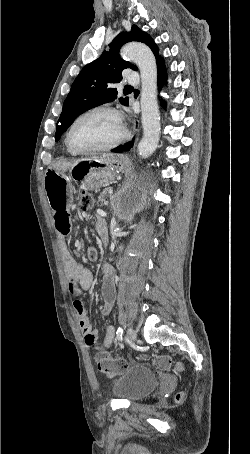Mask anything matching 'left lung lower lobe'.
I'll return each mask as SVG.
<instances>
[{
  "mask_svg": "<svg viewBox=\"0 0 250 454\" xmlns=\"http://www.w3.org/2000/svg\"><path fill=\"white\" fill-rule=\"evenodd\" d=\"M157 69H158V79H157L158 87H159V89H161V87L164 85V83L166 81V71H165V67L163 64V60L161 58L157 61ZM161 104H162V106H165V102L162 101ZM132 146H133V141L130 143H127L123 146L122 145L118 146L115 149H113L112 151L121 153L123 150H129Z\"/></svg>",
  "mask_w": 250,
  "mask_h": 454,
  "instance_id": "left-lung-lower-lobe-1",
  "label": "left lung lower lobe"
}]
</instances>
